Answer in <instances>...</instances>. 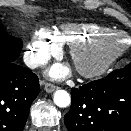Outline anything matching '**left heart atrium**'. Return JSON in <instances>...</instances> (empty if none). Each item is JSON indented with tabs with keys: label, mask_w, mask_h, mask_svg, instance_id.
<instances>
[{
	"label": "left heart atrium",
	"mask_w": 131,
	"mask_h": 131,
	"mask_svg": "<svg viewBox=\"0 0 131 131\" xmlns=\"http://www.w3.org/2000/svg\"><path fill=\"white\" fill-rule=\"evenodd\" d=\"M68 72V68L62 67V66H53L50 69V75L58 78L63 76L64 74H66Z\"/></svg>",
	"instance_id": "obj_1"
}]
</instances>
